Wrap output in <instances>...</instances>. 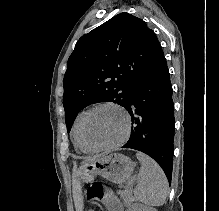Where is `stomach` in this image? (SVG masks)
Masks as SVG:
<instances>
[{
    "mask_svg": "<svg viewBox=\"0 0 219 211\" xmlns=\"http://www.w3.org/2000/svg\"><path fill=\"white\" fill-rule=\"evenodd\" d=\"M134 170L132 160L120 153H113L95 160L84 161L77 172L83 182L89 183L102 176L113 183L126 181Z\"/></svg>",
    "mask_w": 219,
    "mask_h": 211,
    "instance_id": "0dacf381",
    "label": "stomach"
}]
</instances>
